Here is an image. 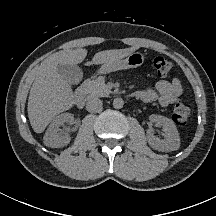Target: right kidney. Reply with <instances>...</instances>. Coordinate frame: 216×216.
<instances>
[{"label": "right kidney", "mask_w": 216, "mask_h": 216, "mask_svg": "<svg viewBox=\"0 0 216 216\" xmlns=\"http://www.w3.org/2000/svg\"><path fill=\"white\" fill-rule=\"evenodd\" d=\"M74 116L71 113H63L56 116L51 124L49 125L47 131L44 135V144L51 148L63 147L69 144L71 137L67 133L63 136L59 135L60 126L65 122L73 123Z\"/></svg>", "instance_id": "right-kidney-1"}]
</instances>
